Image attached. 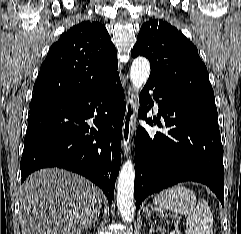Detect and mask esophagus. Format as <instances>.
<instances>
[{
  "label": "esophagus",
  "instance_id": "obj_1",
  "mask_svg": "<svg viewBox=\"0 0 241 234\" xmlns=\"http://www.w3.org/2000/svg\"><path fill=\"white\" fill-rule=\"evenodd\" d=\"M126 93V112L122 127V148L127 155L130 150L131 139L135 129V115L138 102L137 95L132 87L129 86Z\"/></svg>",
  "mask_w": 241,
  "mask_h": 234
}]
</instances>
